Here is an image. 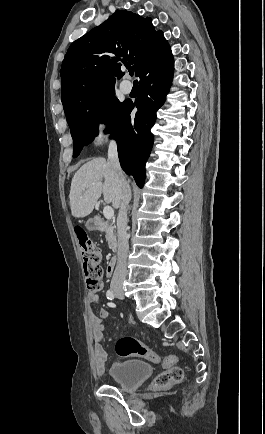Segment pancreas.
Here are the masks:
<instances>
[{
	"label": "pancreas",
	"instance_id": "cf45deb5",
	"mask_svg": "<svg viewBox=\"0 0 265 434\" xmlns=\"http://www.w3.org/2000/svg\"><path fill=\"white\" fill-rule=\"evenodd\" d=\"M108 246L110 250H113V252H116L117 248V240H116V234L114 232V226H108L106 230V236H105Z\"/></svg>",
	"mask_w": 265,
	"mask_h": 434
}]
</instances>
